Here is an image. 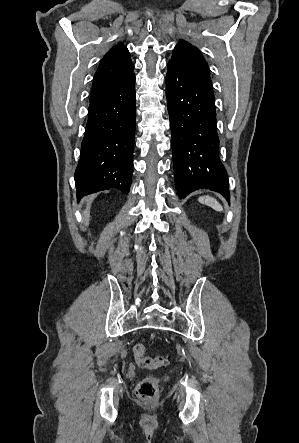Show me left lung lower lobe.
I'll return each mask as SVG.
<instances>
[{
  "label": "left lung lower lobe",
  "mask_w": 299,
  "mask_h": 443,
  "mask_svg": "<svg viewBox=\"0 0 299 443\" xmlns=\"http://www.w3.org/2000/svg\"><path fill=\"white\" fill-rule=\"evenodd\" d=\"M166 96L172 131L174 178L180 198L206 188L229 199V182L218 157L212 88L168 63Z\"/></svg>",
  "instance_id": "1"
}]
</instances>
